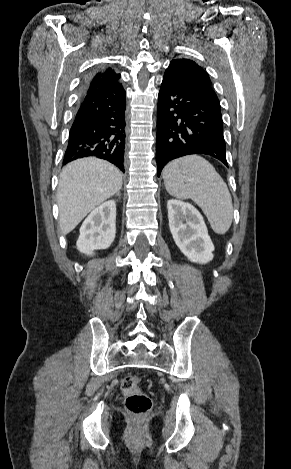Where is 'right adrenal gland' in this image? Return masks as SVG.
<instances>
[{"label": "right adrenal gland", "instance_id": "obj_1", "mask_svg": "<svg viewBox=\"0 0 291 469\" xmlns=\"http://www.w3.org/2000/svg\"><path fill=\"white\" fill-rule=\"evenodd\" d=\"M117 196L120 198V196H121L120 192L117 193Z\"/></svg>", "mask_w": 291, "mask_h": 469}]
</instances>
